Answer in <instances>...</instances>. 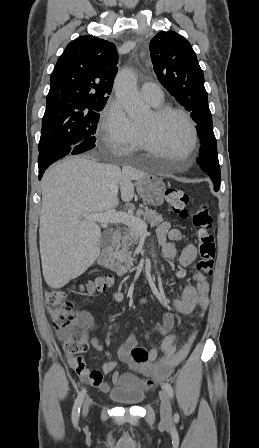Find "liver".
<instances>
[{"label": "liver", "instance_id": "6515ba94", "mask_svg": "<svg viewBox=\"0 0 259 448\" xmlns=\"http://www.w3.org/2000/svg\"><path fill=\"white\" fill-rule=\"evenodd\" d=\"M129 184L119 166L82 156L64 158L45 172L39 244L42 272L50 288H63L94 264L102 234L98 224L83 214L114 210L120 186L125 200Z\"/></svg>", "mask_w": 259, "mask_h": 448}]
</instances>
